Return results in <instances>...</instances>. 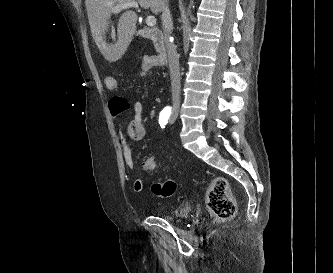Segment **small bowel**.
I'll use <instances>...</instances> for the list:
<instances>
[{"instance_id": "1", "label": "small bowel", "mask_w": 333, "mask_h": 273, "mask_svg": "<svg viewBox=\"0 0 333 273\" xmlns=\"http://www.w3.org/2000/svg\"><path fill=\"white\" fill-rule=\"evenodd\" d=\"M145 59L153 58L146 57L144 60ZM144 60L141 64L142 68L139 72L140 77H147L148 73H152L153 69L155 68L154 62H144ZM109 108L112 116L114 117V124L118 133V139L121 145L125 164L129 169H133L134 159L130 145L128 143V139L133 141H141L146 135V129L143 123V104L139 100L134 102L132 115L126 124V132H123L122 124L120 121V116L122 114H129V104L127 101H125V96H110ZM133 189L136 192H141L144 189V182L141 178H136L134 180Z\"/></svg>"}]
</instances>
